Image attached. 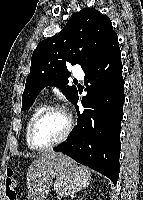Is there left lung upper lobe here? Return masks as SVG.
<instances>
[{"instance_id": "1", "label": "left lung upper lobe", "mask_w": 143, "mask_h": 200, "mask_svg": "<svg viewBox=\"0 0 143 200\" xmlns=\"http://www.w3.org/2000/svg\"><path fill=\"white\" fill-rule=\"evenodd\" d=\"M116 36L110 19L98 10L74 13L60 33L41 41L34 50L21 110L29 109L46 86L59 87L73 102L77 89L67 85V64L81 65L85 71Z\"/></svg>"}]
</instances>
